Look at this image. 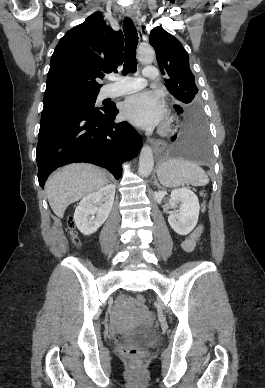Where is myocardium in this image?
<instances>
[{
  "label": "myocardium",
  "instance_id": "obj_1",
  "mask_svg": "<svg viewBox=\"0 0 265 388\" xmlns=\"http://www.w3.org/2000/svg\"><path fill=\"white\" fill-rule=\"evenodd\" d=\"M160 133H161L162 135L167 134V133H168V127H167V126H164V127L160 130Z\"/></svg>",
  "mask_w": 265,
  "mask_h": 388
}]
</instances>
